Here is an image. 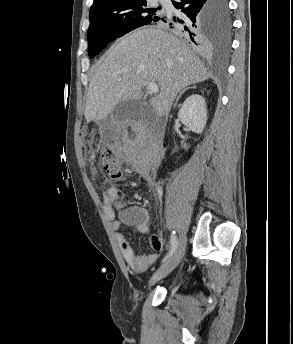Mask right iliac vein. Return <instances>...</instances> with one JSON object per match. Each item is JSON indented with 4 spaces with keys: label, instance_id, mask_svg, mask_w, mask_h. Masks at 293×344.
Masks as SVG:
<instances>
[{
    "label": "right iliac vein",
    "instance_id": "63e3f726",
    "mask_svg": "<svg viewBox=\"0 0 293 344\" xmlns=\"http://www.w3.org/2000/svg\"><path fill=\"white\" fill-rule=\"evenodd\" d=\"M184 253L185 238L182 236L180 237L179 245L173 256L156 270V272L151 277L149 284L154 285L156 282H158L159 280L167 276L171 271H173L180 263Z\"/></svg>",
    "mask_w": 293,
    "mask_h": 344
}]
</instances>
